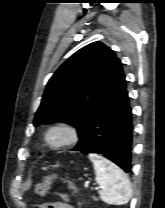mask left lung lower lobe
Masks as SVG:
<instances>
[{
    "label": "left lung lower lobe",
    "instance_id": "1",
    "mask_svg": "<svg viewBox=\"0 0 165 208\" xmlns=\"http://www.w3.org/2000/svg\"><path fill=\"white\" fill-rule=\"evenodd\" d=\"M73 150L102 154L125 172H130L132 168L133 122L123 72L94 111Z\"/></svg>",
    "mask_w": 165,
    "mask_h": 208
}]
</instances>
